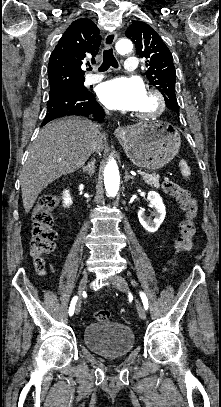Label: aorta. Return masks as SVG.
<instances>
[{
  "mask_svg": "<svg viewBox=\"0 0 221 407\" xmlns=\"http://www.w3.org/2000/svg\"><path fill=\"white\" fill-rule=\"evenodd\" d=\"M133 44L129 39H121L116 43V50L120 54L128 53L132 50ZM104 184L109 197H115L119 190L120 177L117 163L110 159L104 169Z\"/></svg>",
  "mask_w": 221,
  "mask_h": 407,
  "instance_id": "aorta-1",
  "label": "aorta"
}]
</instances>
